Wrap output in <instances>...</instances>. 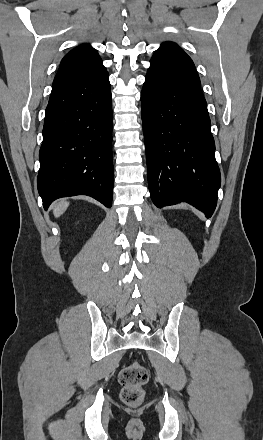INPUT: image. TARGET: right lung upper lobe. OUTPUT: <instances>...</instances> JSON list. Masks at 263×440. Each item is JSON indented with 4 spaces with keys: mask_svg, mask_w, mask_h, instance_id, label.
I'll return each instance as SVG.
<instances>
[{
    "mask_svg": "<svg viewBox=\"0 0 263 440\" xmlns=\"http://www.w3.org/2000/svg\"><path fill=\"white\" fill-rule=\"evenodd\" d=\"M103 71H106V68L97 51L87 44L78 46L62 59L53 81L52 91L93 77Z\"/></svg>",
    "mask_w": 263,
    "mask_h": 440,
    "instance_id": "obj_1",
    "label": "right lung upper lobe"
}]
</instances>
